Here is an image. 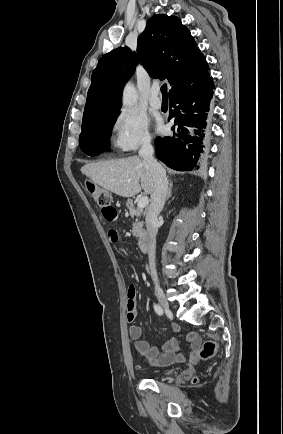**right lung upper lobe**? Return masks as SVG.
Segmentation results:
<instances>
[{
    "label": "right lung upper lobe",
    "instance_id": "cb5924a9",
    "mask_svg": "<svg viewBox=\"0 0 283 434\" xmlns=\"http://www.w3.org/2000/svg\"><path fill=\"white\" fill-rule=\"evenodd\" d=\"M139 61L151 77L169 81V96L196 88L210 77L205 56L181 20L154 15L138 38L137 54L119 47L100 58L92 73L82 128L117 114L123 87Z\"/></svg>",
    "mask_w": 283,
    "mask_h": 434
}]
</instances>
